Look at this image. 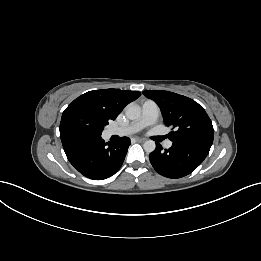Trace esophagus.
<instances>
[{"label":"esophagus","mask_w":261,"mask_h":261,"mask_svg":"<svg viewBox=\"0 0 261 261\" xmlns=\"http://www.w3.org/2000/svg\"><path fill=\"white\" fill-rule=\"evenodd\" d=\"M135 140H136L137 142H139V143H142V142L145 141V139H143V138H136Z\"/></svg>","instance_id":"34e87169"}]
</instances>
